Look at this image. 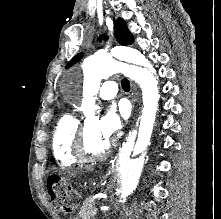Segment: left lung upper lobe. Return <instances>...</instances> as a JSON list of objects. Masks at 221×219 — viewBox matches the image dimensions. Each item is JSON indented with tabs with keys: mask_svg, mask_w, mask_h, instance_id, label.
Returning a JSON list of instances; mask_svg holds the SVG:
<instances>
[{
	"mask_svg": "<svg viewBox=\"0 0 221 219\" xmlns=\"http://www.w3.org/2000/svg\"><path fill=\"white\" fill-rule=\"evenodd\" d=\"M114 29H115V37L116 40L121 44V45H129L134 42L132 34L129 32L127 25L124 20L121 18H118L117 20L114 21ZM83 56V53L77 54L75 57L71 59V61L68 63L66 68L71 67L74 65L76 62H78Z\"/></svg>",
	"mask_w": 221,
	"mask_h": 219,
	"instance_id": "5c2ea615",
	"label": "left lung upper lobe"
}]
</instances>
